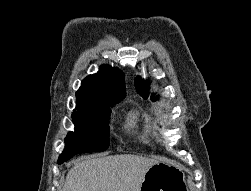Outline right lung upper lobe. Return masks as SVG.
<instances>
[{"label": "right lung upper lobe", "instance_id": "obj_1", "mask_svg": "<svg viewBox=\"0 0 251 191\" xmlns=\"http://www.w3.org/2000/svg\"><path fill=\"white\" fill-rule=\"evenodd\" d=\"M125 96L123 73L119 69L102 65L97 73L87 76L82 81L76 92V110L90 106L114 105Z\"/></svg>", "mask_w": 251, "mask_h": 191}]
</instances>
